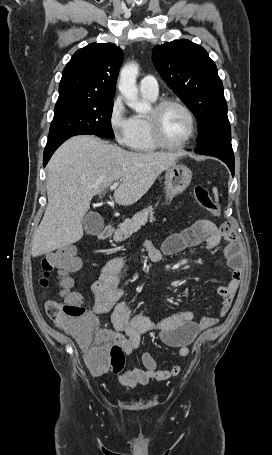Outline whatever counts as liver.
Segmentation results:
<instances>
[{
  "label": "liver",
  "instance_id": "1",
  "mask_svg": "<svg viewBox=\"0 0 272 455\" xmlns=\"http://www.w3.org/2000/svg\"><path fill=\"white\" fill-rule=\"evenodd\" d=\"M178 153L130 152L95 136H75L62 144L47 165L48 205L34 233L33 257L73 244L83 237V218L92 198L114 182L115 202L140 200Z\"/></svg>",
  "mask_w": 272,
  "mask_h": 455
}]
</instances>
